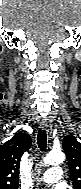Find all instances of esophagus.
<instances>
[{"instance_id": "1", "label": "esophagus", "mask_w": 81, "mask_h": 189, "mask_svg": "<svg viewBox=\"0 0 81 189\" xmlns=\"http://www.w3.org/2000/svg\"><path fill=\"white\" fill-rule=\"evenodd\" d=\"M41 128L45 129L48 135H50L51 132H52V125H51V123H50L49 121H47V120H43V121L41 122Z\"/></svg>"}]
</instances>
